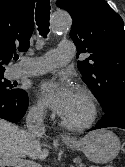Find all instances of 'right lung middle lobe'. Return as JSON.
Returning a JSON list of instances; mask_svg holds the SVG:
<instances>
[{
    "instance_id": "obj_1",
    "label": "right lung middle lobe",
    "mask_w": 125,
    "mask_h": 167,
    "mask_svg": "<svg viewBox=\"0 0 125 167\" xmlns=\"http://www.w3.org/2000/svg\"><path fill=\"white\" fill-rule=\"evenodd\" d=\"M4 72H0V91L5 92L8 96H18L22 90L15 88L17 84H12L11 81L7 80L3 76Z\"/></svg>"
}]
</instances>
